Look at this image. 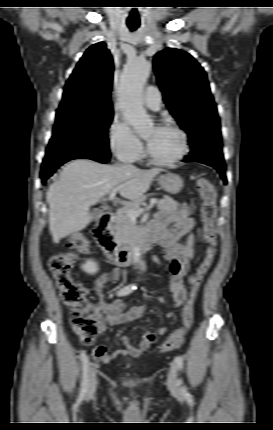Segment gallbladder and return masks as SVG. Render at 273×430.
<instances>
[{"instance_id":"gallbladder-1","label":"gallbladder","mask_w":273,"mask_h":430,"mask_svg":"<svg viewBox=\"0 0 273 430\" xmlns=\"http://www.w3.org/2000/svg\"><path fill=\"white\" fill-rule=\"evenodd\" d=\"M102 214H103V212L101 210H99V209H94V210L91 211V217H92V219H97V218L101 217Z\"/></svg>"}]
</instances>
